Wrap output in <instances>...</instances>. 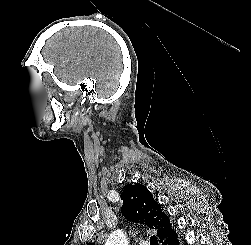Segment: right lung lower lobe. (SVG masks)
<instances>
[{"label": "right lung lower lobe", "mask_w": 251, "mask_h": 245, "mask_svg": "<svg viewBox=\"0 0 251 245\" xmlns=\"http://www.w3.org/2000/svg\"><path fill=\"white\" fill-rule=\"evenodd\" d=\"M161 243L162 245H179L175 231H173L172 234L165 238Z\"/></svg>", "instance_id": "1"}]
</instances>
